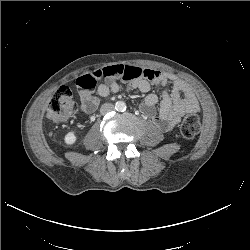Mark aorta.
<instances>
[{"label": "aorta", "mask_w": 250, "mask_h": 250, "mask_svg": "<svg viewBox=\"0 0 250 250\" xmlns=\"http://www.w3.org/2000/svg\"><path fill=\"white\" fill-rule=\"evenodd\" d=\"M115 109L119 112H124L126 110L125 102H123V101L116 102Z\"/></svg>", "instance_id": "obj_1"}]
</instances>
